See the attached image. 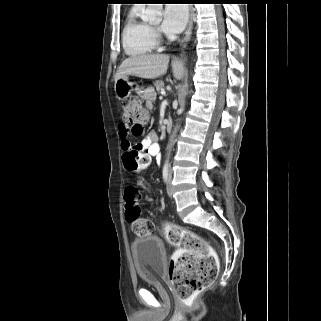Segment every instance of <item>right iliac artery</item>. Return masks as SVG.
Listing matches in <instances>:
<instances>
[{"mask_svg": "<svg viewBox=\"0 0 321 321\" xmlns=\"http://www.w3.org/2000/svg\"><path fill=\"white\" fill-rule=\"evenodd\" d=\"M168 164H165L164 167H163V179L165 182H167L168 180Z\"/></svg>", "mask_w": 321, "mask_h": 321, "instance_id": "obj_1", "label": "right iliac artery"}]
</instances>
